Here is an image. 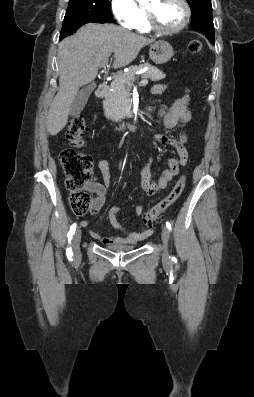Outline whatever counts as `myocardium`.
Here are the masks:
<instances>
[{"instance_id": "1", "label": "myocardium", "mask_w": 254, "mask_h": 397, "mask_svg": "<svg viewBox=\"0 0 254 397\" xmlns=\"http://www.w3.org/2000/svg\"><path fill=\"white\" fill-rule=\"evenodd\" d=\"M177 1L182 5L183 10H184L183 19L178 26H176L174 28L160 27L155 20L153 12L146 8L145 13H146V20H147L148 27L151 30H153L154 32L163 34V35H172V34H176L180 31H182L187 26V24L190 20L191 9H190V6L186 0H177Z\"/></svg>"}]
</instances>
